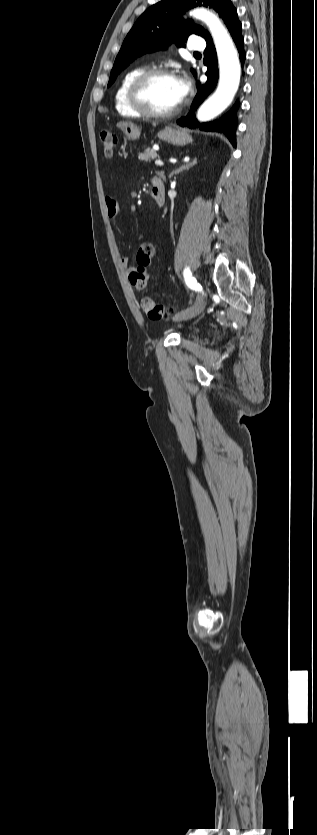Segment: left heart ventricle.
I'll return each instance as SVG.
<instances>
[{
    "instance_id": "obj_1",
    "label": "left heart ventricle",
    "mask_w": 317,
    "mask_h": 835,
    "mask_svg": "<svg viewBox=\"0 0 317 835\" xmlns=\"http://www.w3.org/2000/svg\"><path fill=\"white\" fill-rule=\"evenodd\" d=\"M145 100L156 111H167L178 103L175 78L157 77L153 79L145 90Z\"/></svg>"
}]
</instances>
